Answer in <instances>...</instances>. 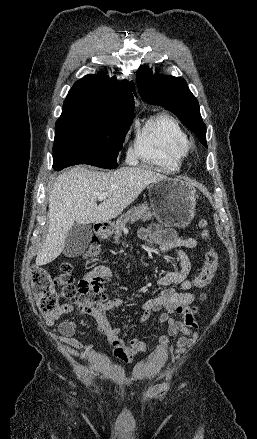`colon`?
<instances>
[{
	"label": "colon",
	"mask_w": 257,
	"mask_h": 439,
	"mask_svg": "<svg viewBox=\"0 0 257 439\" xmlns=\"http://www.w3.org/2000/svg\"><path fill=\"white\" fill-rule=\"evenodd\" d=\"M202 235L207 238L208 223L205 219L200 221ZM101 253V246L98 239H93L85 252L87 258H96ZM218 265V254L213 248L205 252L204 263L196 276L198 287H204L211 282ZM58 276L52 277L43 268H34L31 274L32 285L35 291L39 310L45 317L55 314L59 307V299L74 304L81 312L91 313L107 301V295L104 292L95 293L79 285L76 286L71 276L72 266L69 262L63 261L58 264ZM205 295H203V298ZM196 312V308L190 310V315Z\"/></svg>",
	"instance_id": "5ec220e1"
}]
</instances>
